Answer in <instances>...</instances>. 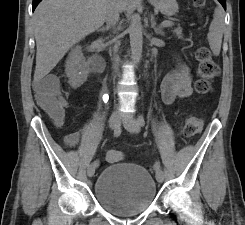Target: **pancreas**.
Masks as SVG:
<instances>
[{
    "mask_svg": "<svg viewBox=\"0 0 245 225\" xmlns=\"http://www.w3.org/2000/svg\"><path fill=\"white\" fill-rule=\"evenodd\" d=\"M173 33L176 34L178 37H181L182 36V29L180 27L175 28L173 30Z\"/></svg>",
    "mask_w": 245,
    "mask_h": 225,
    "instance_id": "obj_1",
    "label": "pancreas"
}]
</instances>
